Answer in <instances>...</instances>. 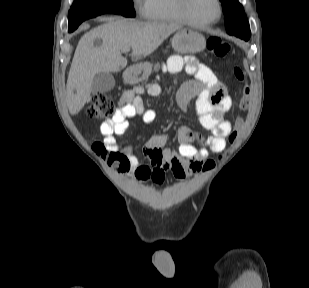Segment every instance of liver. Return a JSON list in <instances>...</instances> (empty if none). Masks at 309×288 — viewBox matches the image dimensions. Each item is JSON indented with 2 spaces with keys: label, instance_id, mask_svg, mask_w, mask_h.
Wrapping results in <instances>:
<instances>
[{
  "label": "liver",
  "instance_id": "1",
  "mask_svg": "<svg viewBox=\"0 0 309 288\" xmlns=\"http://www.w3.org/2000/svg\"><path fill=\"white\" fill-rule=\"evenodd\" d=\"M178 29L180 26L172 23L110 18L86 32L78 42L67 79L66 103L70 114H77L90 102L97 74L115 73L126 67L122 48H132L131 59L137 61L154 52ZM96 41L101 44L96 45Z\"/></svg>",
  "mask_w": 309,
  "mask_h": 288
}]
</instances>
